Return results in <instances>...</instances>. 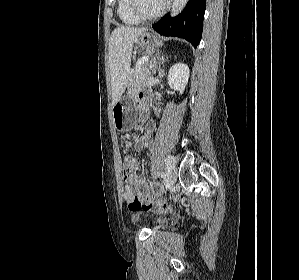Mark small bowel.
Returning a JSON list of instances; mask_svg holds the SVG:
<instances>
[{
	"mask_svg": "<svg viewBox=\"0 0 299 280\" xmlns=\"http://www.w3.org/2000/svg\"><path fill=\"white\" fill-rule=\"evenodd\" d=\"M145 112L146 110L143 111L140 108V124L145 122ZM154 130V122H147L142 135L139 137L135 144L136 151L140 152L143 148L150 146L149 140ZM125 180L126 184L123 188V198L128 203L132 202L136 198L141 201H148L151 191L160 192L162 190L160 185L151 183L146 177L137 173L128 175L127 177H125Z\"/></svg>",
	"mask_w": 299,
	"mask_h": 280,
	"instance_id": "obj_1",
	"label": "small bowel"
}]
</instances>
